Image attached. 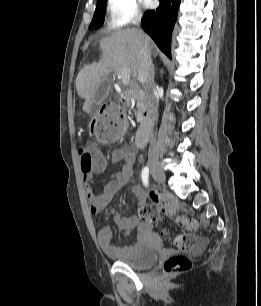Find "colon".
<instances>
[{"mask_svg":"<svg viewBox=\"0 0 261 306\" xmlns=\"http://www.w3.org/2000/svg\"><path fill=\"white\" fill-rule=\"evenodd\" d=\"M107 108L113 121L107 123L103 119H98L94 122L91 130L93 138L100 142L119 139L124 132L123 118L119 108L115 104H109ZM79 154L82 171H91L104 159L101 153H93L87 143L79 147ZM160 210L169 216L176 217L178 222L188 229H194L195 223L193 220L183 214H177L174 200L158 192L151 194V202L142 205L138 209V215L145 222H157L160 220ZM173 246L179 252H187L195 248L196 240L194 235L190 233L177 234L173 238ZM191 267L192 263L188 257L176 253L164 261L162 271L165 274L171 275L188 271Z\"/></svg>","mask_w":261,"mask_h":306,"instance_id":"1","label":"colon"}]
</instances>
